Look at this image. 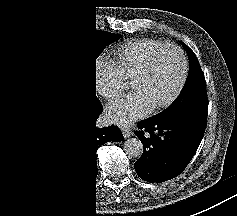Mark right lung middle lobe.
<instances>
[{"mask_svg": "<svg viewBox=\"0 0 237 216\" xmlns=\"http://www.w3.org/2000/svg\"><path fill=\"white\" fill-rule=\"evenodd\" d=\"M100 35L102 34V37L99 39L101 41L100 46L98 47V56L99 54L103 51V49L112 43L113 41L117 40L118 38L121 37L119 34H114L110 32H105V31H98Z\"/></svg>", "mask_w": 237, "mask_h": 216, "instance_id": "right-lung-middle-lobe-1", "label": "right lung middle lobe"}]
</instances>
